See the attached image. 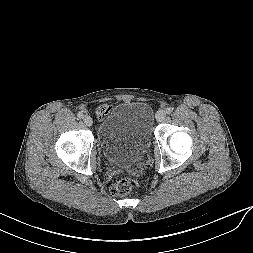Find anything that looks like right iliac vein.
I'll return each instance as SVG.
<instances>
[{"mask_svg": "<svg viewBox=\"0 0 253 253\" xmlns=\"http://www.w3.org/2000/svg\"><path fill=\"white\" fill-rule=\"evenodd\" d=\"M83 122L88 127H90L93 124L92 118L90 116H88V115L84 116Z\"/></svg>", "mask_w": 253, "mask_h": 253, "instance_id": "1", "label": "right iliac vein"}]
</instances>
